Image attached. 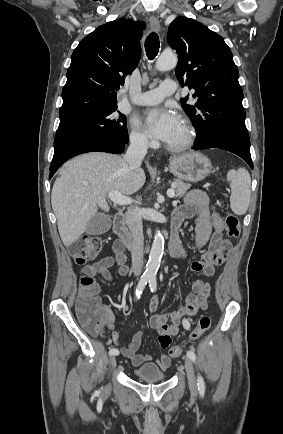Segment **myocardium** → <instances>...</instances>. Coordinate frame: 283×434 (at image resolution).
I'll list each match as a JSON object with an SVG mask.
<instances>
[{
    "label": "myocardium",
    "mask_w": 283,
    "mask_h": 434,
    "mask_svg": "<svg viewBox=\"0 0 283 434\" xmlns=\"http://www.w3.org/2000/svg\"><path fill=\"white\" fill-rule=\"evenodd\" d=\"M184 128L183 139L176 144L166 143V148L171 152H182L189 149L195 140V130L190 120L184 116L180 118Z\"/></svg>",
    "instance_id": "1"
}]
</instances>
